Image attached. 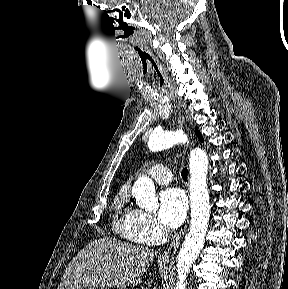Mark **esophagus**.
Wrapping results in <instances>:
<instances>
[{"mask_svg":"<svg viewBox=\"0 0 288 289\" xmlns=\"http://www.w3.org/2000/svg\"><path fill=\"white\" fill-rule=\"evenodd\" d=\"M183 234H184V230H181L179 232V234H177L176 237L173 239L170 246L168 247V249L164 252V254L162 256L163 261H168L171 258H173V256L177 252V249L179 247V244H180V241L183 237Z\"/></svg>","mask_w":288,"mask_h":289,"instance_id":"obj_1","label":"esophagus"}]
</instances>
